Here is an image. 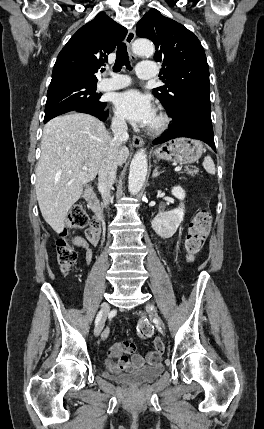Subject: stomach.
<instances>
[{"label": "stomach", "instance_id": "obj_1", "mask_svg": "<svg viewBox=\"0 0 264 429\" xmlns=\"http://www.w3.org/2000/svg\"><path fill=\"white\" fill-rule=\"evenodd\" d=\"M203 150V145L199 140L176 138L162 144L154 154L161 160L188 164L198 160Z\"/></svg>", "mask_w": 264, "mask_h": 429}]
</instances>
